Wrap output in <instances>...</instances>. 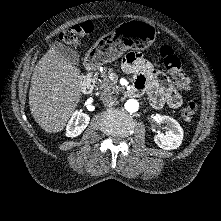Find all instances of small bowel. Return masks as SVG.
Masks as SVG:
<instances>
[{
    "label": "small bowel",
    "mask_w": 221,
    "mask_h": 221,
    "mask_svg": "<svg viewBox=\"0 0 221 221\" xmlns=\"http://www.w3.org/2000/svg\"><path fill=\"white\" fill-rule=\"evenodd\" d=\"M122 68L125 72L136 75L133 86L137 89V95L146 92L154 108L159 109L168 105L172 109H177L182 105L180 91L188 90L189 87H178L141 53L136 51L127 53L122 61Z\"/></svg>",
    "instance_id": "1"
}]
</instances>
